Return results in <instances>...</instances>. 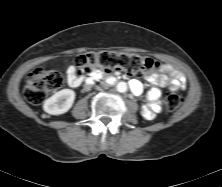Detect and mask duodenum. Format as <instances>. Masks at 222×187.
I'll return each instance as SVG.
<instances>
[{
    "mask_svg": "<svg viewBox=\"0 0 222 187\" xmlns=\"http://www.w3.org/2000/svg\"><path fill=\"white\" fill-rule=\"evenodd\" d=\"M99 78H103L106 82L108 83H115L117 80H118V77L117 76H114V75H102V73H98V74H95L93 76H91L89 78V83L99 79Z\"/></svg>",
    "mask_w": 222,
    "mask_h": 187,
    "instance_id": "obj_1",
    "label": "duodenum"
}]
</instances>
